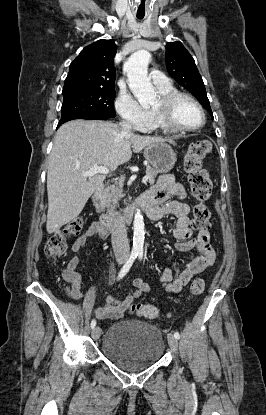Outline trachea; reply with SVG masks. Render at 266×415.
<instances>
[{"label":"trachea","mask_w":266,"mask_h":415,"mask_svg":"<svg viewBox=\"0 0 266 415\" xmlns=\"http://www.w3.org/2000/svg\"><path fill=\"white\" fill-rule=\"evenodd\" d=\"M144 16H139V15H137V18L138 19H142Z\"/></svg>","instance_id":"obj_1"}]
</instances>
